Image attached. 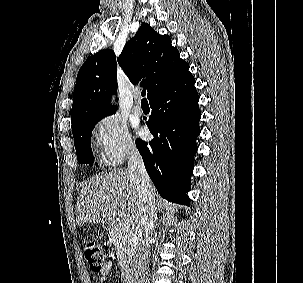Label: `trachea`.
<instances>
[{
	"label": "trachea",
	"mask_w": 303,
	"mask_h": 283,
	"mask_svg": "<svg viewBox=\"0 0 303 283\" xmlns=\"http://www.w3.org/2000/svg\"><path fill=\"white\" fill-rule=\"evenodd\" d=\"M141 95L143 96L142 101H146V98H145L146 90H142Z\"/></svg>",
	"instance_id": "3493384b"
}]
</instances>
